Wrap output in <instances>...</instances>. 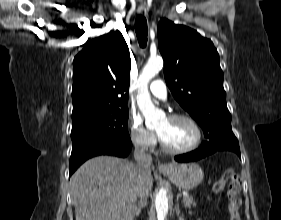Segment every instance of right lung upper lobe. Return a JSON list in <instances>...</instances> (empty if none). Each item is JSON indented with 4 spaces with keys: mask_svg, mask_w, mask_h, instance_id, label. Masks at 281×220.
Here are the masks:
<instances>
[{
    "mask_svg": "<svg viewBox=\"0 0 281 220\" xmlns=\"http://www.w3.org/2000/svg\"><path fill=\"white\" fill-rule=\"evenodd\" d=\"M130 63L118 30L89 41L73 61L72 118L127 108Z\"/></svg>",
    "mask_w": 281,
    "mask_h": 220,
    "instance_id": "cb5924a9",
    "label": "right lung upper lobe"
}]
</instances>
